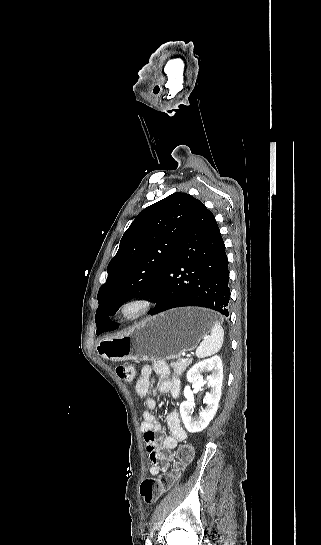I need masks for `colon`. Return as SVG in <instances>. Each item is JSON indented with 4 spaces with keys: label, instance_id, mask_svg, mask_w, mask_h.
<instances>
[{
    "label": "colon",
    "instance_id": "1",
    "mask_svg": "<svg viewBox=\"0 0 321 545\" xmlns=\"http://www.w3.org/2000/svg\"><path fill=\"white\" fill-rule=\"evenodd\" d=\"M116 374L126 382H132L135 376V368L131 364L119 365L115 369ZM177 464L169 473L156 477L145 478L140 485V494L148 505L154 504L173 484L181 467L192 458V449L187 445L179 447L176 452Z\"/></svg>",
    "mask_w": 321,
    "mask_h": 545
}]
</instances>
